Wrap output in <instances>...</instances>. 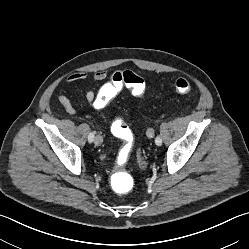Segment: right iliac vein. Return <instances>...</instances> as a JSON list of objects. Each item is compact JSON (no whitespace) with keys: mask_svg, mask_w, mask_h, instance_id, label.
Wrapping results in <instances>:
<instances>
[{"mask_svg":"<svg viewBox=\"0 0 249 249\" xmlns=\"http://www.w3.org/2000/svg\"><path fill=\"white\" fill-rule=\"evenodd\" d=\"M95 145L99 146L103 143V138L100 135H97L94 140Z\"/></svg>","mask_w":249,"mask_h":249,"instance_id":"right-iliac-vein-1","label":"right iliac vein"}]
</instances>
